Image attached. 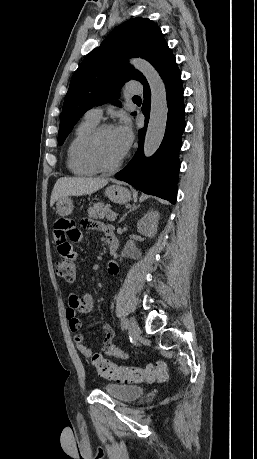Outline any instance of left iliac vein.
Segmentation results:
<instances>
[{"label":"left iliac vein","mask_w":257,"mask_h":459,"mask_svg":"<svg viewBox=\"0 0 257 459\" xmlns=\"http://www.w3.org/2000/svg\"><path fill=\"white\" fill-rule=\"evenodd\" d=\"M129 326H130V333L131 335L134 337V338H137L140 336L141 334V329L138 325V323L136 322V320L134 318H130L129 320Z\"/></svg>","instance_id":"obj_1"}]
</instances>
